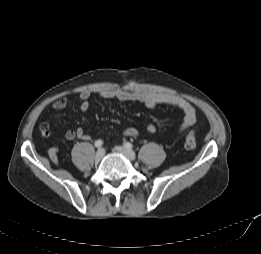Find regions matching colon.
Segmentation results:
<instances>
[{
    "instance_id": "5ec220e1",
    "label": "colon",
    "mask_w": 261,
    "mask_h": 254,
    "mask_svg": "<svg viewBox=\"0 0 261 254\" xmlns=\"http://www.w3.org/2000/svg\"><path fill=\"white\" fill-rule=\"evenodd\" d=\"M45 134H48V131H46ZM184 145L187 150H193L196 147V138L193 132H189L186 135Z\"/></svg>"
}]
</instances>
